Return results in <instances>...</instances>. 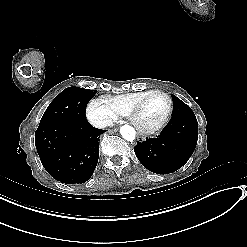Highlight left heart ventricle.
Instances as JSON below:
<instances>
[{"label":"left heart ventricle","mask_w":247,"mask_h":247,"mask_svg":"<svg viewBox=\"0 0 247 247\" xmlns=\"http://www.w3.org/2000/svg\"><path fill=\"white\" fill-rule=\"evenodd\" d=\"M167 100L161 95H153L144 101L143 112L147 123H156L164 115Z\"/></svg>","instance_id":"left-heart-ventricle-1"}]
</instances>
